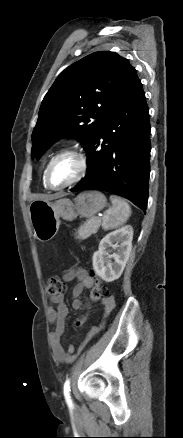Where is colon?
Here are the masks:
<instances>
[{
    "label": "colon",
    "instance_id": "1",
    "mask_svg": "<svg viewBox=\"0 0 183 438\" xmlns=\"http://www.w3.org/2000/svg\"><path fill=\"white\" fill-rule=\"evenodd\" d=\"M94 285L91 289L90 298L92 301H97L109 296L107 290L103 287L100 279L93 273ZM65 291L64 283L56 276L48 279L46 284V294L49 299L63 295Z\"/></svg>",
    "mask_w": 183,
    "mask_h": 438
}]
</instances>
